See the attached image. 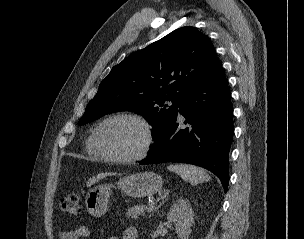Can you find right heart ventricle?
I'll return each mask as SVG.
<instances>
[{
  "instance_id": "1",
  "label": "right heart ventricle",
  "mask_w": 304,
  "mask_h": 239,
  "mask_svg": "<svg viewBox=\"0 0 304 239\" xmlns=\"http://www.w3.org/2000/svg\"><path fill=\"white\" fill-rule=\"evenodd\" d=\"M86 152L89 156L93 158H101V156L95 150L93 143H92V135L86 141Z\"/></svg>"
}]
</instances>
